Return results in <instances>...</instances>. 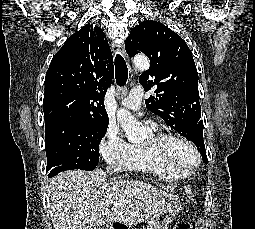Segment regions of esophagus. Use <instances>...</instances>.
Wrapping results in <instances>:
<instances>
[{
    "mask_svg": "<svg viewBox=\"0 0 255 229\" xmlns=\"http://www.w3.org/2000/svg\"><path fill=\"white\" fill-rule=\"evenodd\" d=\"M112 49L114 52L120 53L122 56L125 57L126 53H125V46L124 43L121 44H112Z\"/></svg>",
    "mask_w": 255,
    "mask_h": 229,
    "instance_id": "esophagus-1",
    "label": "esophagus"
}]
</instances>
